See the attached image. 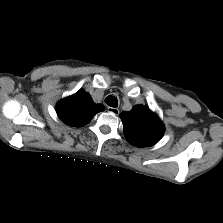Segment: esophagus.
Masks as SVG:
<instances>
[{"mask_svg":"<svg viewBox=\"0 0 223 223\" xmlns=\"http://www.w3.org/2000/svg\"><path fill=\"white\" fill-rule=\"evenodd\" d=\"M107 111L113 115H118L119 114V109L115 107H108Z\"/></svg>","mask_w":223,"mask_h":223,"instance_id":"esophagus-1","label":"esophagus"}]
</instances>
